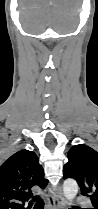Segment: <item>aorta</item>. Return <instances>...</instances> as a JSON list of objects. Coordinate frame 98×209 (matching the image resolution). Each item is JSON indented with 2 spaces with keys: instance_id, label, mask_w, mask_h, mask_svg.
<instances>
[{
  "instance_id": "obj_1",
  "label": "aorta",
  "mask_w": 98,
  "mask_h": 209,
  "mask_svg": "<svg viewBox=\"0 0 98 209\" xmlns=\"http://www.w3.org/2000/svg\"><path fill=\"white\" fill-rule=\"evenodd\" d=\"M63 192L65 198L71 202L78 193V184L73 179H67L63 183Z\"/></svg>"
}]
</instances>
